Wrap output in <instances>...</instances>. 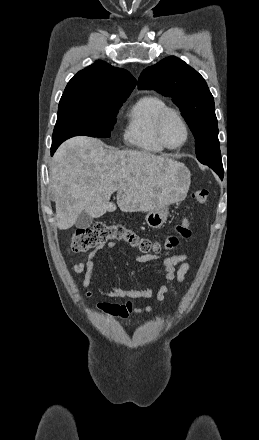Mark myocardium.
Here are the masks:
<instances>
[{
	"instance_id": "f54148a6",
	"label": "myocardium",
	"mask_w": 259,
	"mask_h": 440,
	"mask_svg": "<svg viewBox=\"0 0 259 440\" xmlns=\"http://www.w3.org/2000/svg\"><path fill=\"white\" fill-rule=\"evenodd\" d=\"M170 115H175L179 119V121L181 122V124L185 130L184 140L180 144L175 145V146L168 145L163 137V126H164L165 120ZM155 135H156L157 141L164 149L176 150V149L183 147L187 143V141L189 140L190 128H189V125H188L185 117L183 116V114L179 110H177L175 108L168 107L161 112V114L159 115V117L156 121Z\"/></svg>"
}]
</instances>
